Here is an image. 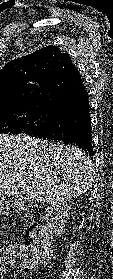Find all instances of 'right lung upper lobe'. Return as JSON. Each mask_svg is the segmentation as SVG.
<instances>
[{"instance_id":"right-lung-upper-lobe-1","label":"right lung upper lobe","mask_w":113,"mask_h":279,"mask_svg":"<svg viewBox=\"0 0 113 279\" xmlns=\"http://www.w3.org/2000/svg\"><path fill=\"white\" fill-rule=\"evenodd\" d=\"M84 88L69 54L50 45L12 60L0 70V109L35 105L65 108Z\"/></svg>"}]
</instances>
